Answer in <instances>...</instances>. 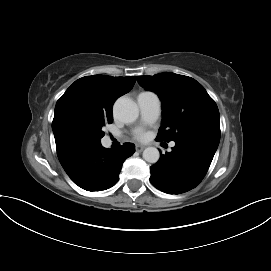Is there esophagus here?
Returning a JSON list of instances; mask_svg holds the SVG:
<instances>
[{
  "mask_svg": "<svg viewBox=\"0 0 271 271\" xmlns=\"http://www.w3.org/2000/svg\"><path fill=\"white\" fill-rule=\"evenodd\" d=\"M144 149H145V146H144V145H140V144H137V145H136V151L141 152V151H143Z\"/></svg>",
  "mask_w": 271,
  "mask_h": 271,
  "instance_id": "1",
  "label": "esophagus"
}]
</instances>
